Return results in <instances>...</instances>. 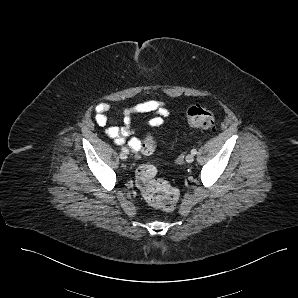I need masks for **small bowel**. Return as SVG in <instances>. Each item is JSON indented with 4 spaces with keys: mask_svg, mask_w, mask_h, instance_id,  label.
<instances>
[{
    "mask_svg": "<svg viewBox=\"0 0 298 298\" xmlns=\"http://www.w3.org/2000/svg\"><path fill=\"white\" fill-rule=\"evenodd\" d=\"M109 110L110 105L108 103H100L96 106L95 121L99 126L105 127L107 125ZM137 114H152L153 116L147 121V124L150 127H159L164 124L165 118L170 116V110L162 101L147 100L140 102L122 111L123 126H111L105 129V133L115 144L122 145L127 143L132 150L139 152L141 141L132 137L134 134L132 119Z\"/></svg>",
    "mask_w": 298,
    "mask_h": 298,
    "instance_id": "obj_1",
    "label": "small bowel"
}]
</instances>
